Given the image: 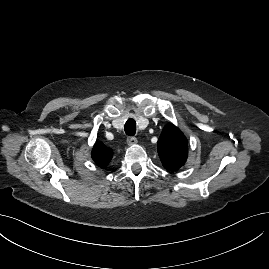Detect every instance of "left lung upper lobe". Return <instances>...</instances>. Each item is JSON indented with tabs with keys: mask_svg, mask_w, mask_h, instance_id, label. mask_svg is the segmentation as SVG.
<instances>
[{
	"mask_svg": "<svg viewBox=\"0 0 269 269\" xmlns=\"http://www.w3.org/2000/svg\"><path fill=\"white\" fill-rule=\"evenodd\" d=\"M158 154L163 166L175 171L184 165L188 155L187 140L173 124H167L158 140Z\"/></svg>",
	"mask_w": 269,
	"mask_h": 269,
	"instance_id": "5c2ea615",
	"label": "left lung upper lobe"
}]
</instances>
